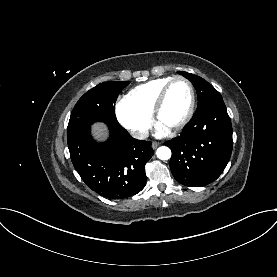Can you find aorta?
<instances>
[{
    "mask_svg": "<svg viewBox=\"0 0 277 277\" xmlns=\"http://www.w3.org/2000/svg\"><path fill=\"white\" fill-rule=\"evenodd\" d=\"M156 155L160 160H168L171 157V150L167 146H161L157 149Z\"/></svg>",
    "mask_w": 277,
    "mask_h": 277,
    "instance_id": "obj_1",
    "label": "aorta"
}]
</instances>
